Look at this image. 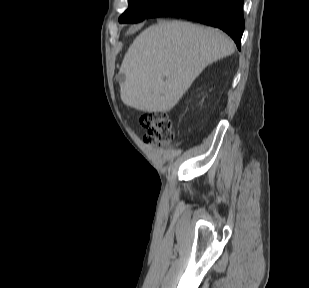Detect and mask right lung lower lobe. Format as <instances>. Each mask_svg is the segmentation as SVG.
<instances>
[{"label": "right lung lower lobe", "mask_w": 309, "mask_h": 288, "mask_svg": "<svg viewBox=\"0 0 309 288\" xmlns=\"http://www.w3.org/2000/svg\"><path fill=\"white\" fill-rule=\"evenodd\" d=\"M244 0H169L148 18L176 16L222 29L240 49Z\"/></svg>", "instance_id": "98d812e1"}]
</instances>
